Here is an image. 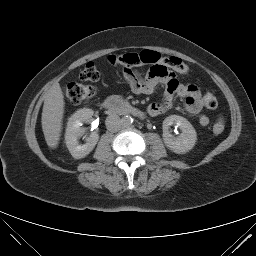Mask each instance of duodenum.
<instances>
[{
    "label": "duodenum",
    "instance_id": "1",
    "mask_svg": "<svg viewBox=\"0 0 256 256\" xmlns=\"http://www.w3.org/2000/svg\"><path fill=\"white\" fill-rule=\"evenodd\" d=\"M103 106L110 113L143 117V112H141L138 108L115 97L107 98L104 101Z\"/></svg>",
    "mask_w": 256,
    "mask_h": 256
}]
</instances>
